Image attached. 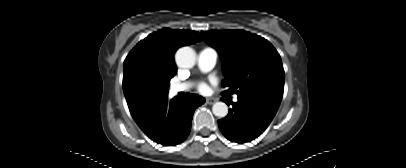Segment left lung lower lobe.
<instances>
[{
	"mask_svg": "<svg viewBox=\"0 0 406 168\" xmlns=\"http://www.w3.org/2000/svg\"><path fill=\"white\" fill-rule=\"evenodd\" d=\"M280 100L263 96L238 97L229 114L218 121L224 136L237 143L250 142L260 136L274 118Z\"/></svg>",
	"mask_w": 406,
	"mask_h": 168,
	"instance_id": "1",
	"label": "left lung lower lobe"
}]
</instances>
